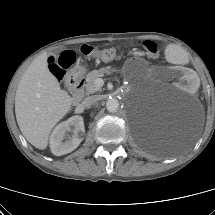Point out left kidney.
Segmentation results:
<instances>
[{"label":"left kidney","instance_id":"5707ae66","mask_svg":"<svg viewBox=\"0 0 215 215\" xmlns=\"http://www.w3.org/2000/svg\"><path fill=\"white\" fill-rule=\"evenodd\" d=\"M168 77L187 92H193L200 86L199 77L189 69L173 67L169 70Z\"/></svg>","mask_w":215,"mask_h":215}]
</instances>
